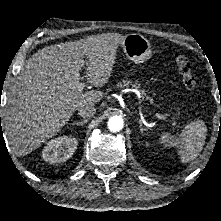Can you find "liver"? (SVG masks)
Masks as SVG:
<instances>
[{
  "label": "liver",
  "instance_id": "1",
  "mask_svg": "<svg viewBox=\"0 0 221 221\" xmlns=\"http://www.w3.org/2000/svg\"><path fill=\"white\" fill-rule=\"evenodd\" d=\"M124 38L107 33L59 43L42 48L26 61L8 99L3 125L16 156L31 153L59 133L82 105L101 101V91L82 92L77 88L85 63L82 58L88 59V82L103 87Z\"/></svg>",
  "mask_w": 221,
  "mask_h": 221
}]
</instances>
